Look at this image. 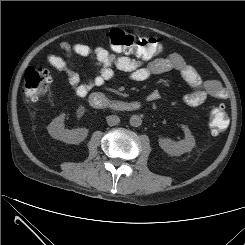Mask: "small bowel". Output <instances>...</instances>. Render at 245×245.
Listing matches in <instances>:
<instances>
[{
    "mask_svg": "<svg viewBox=\"0 0 245 245\" xmlns=\"http://www.w3.org/2000/svg\"><path fill=\"white\" fill-rule=\"evenodd\" d=\"M58 48L65 54L48 55V63L56 70L67 75L68 83L73 93L78 97H86L95 88L101 87L110 80L115 71L125 74L128 80L133 82H144L152 76L177 72L190 87V92L183 96V102L190 107H197L207 99H224L226 92L216 81L202 79L198 71L177 53H169L152 61H140L126 56H117L102 46L91 47L86 44H70L62 42ZM74 55L91 58L96 74L85 82L81 81L76 71L72 58ZM158 94L153 92L149 95L150 100L157 99Z\"/></svg>",
    "mask_w": 245,
    "mask_h": 245,
    "instance_id": "c3829d8e",
    "label": "small bowel"
}]
</instances>
